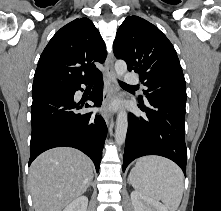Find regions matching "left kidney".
Here are the masks:
<instances>
[{
    "instance_id": "obj_1",
    "label": "left kidney",
    "mask_w": 221,
    "mask_h": 211,
    "mask_svg": "<svg viewBox=\"0 0 221 211\" xmlns=\"http://www.w3.org/2000/svg\"><path fill=\"white\" fill-rule=\"evenodd\" d=\"M134 211H168L158 200L143 195L138 191L131 192Z\"/></svg>"
}]
</instances>
